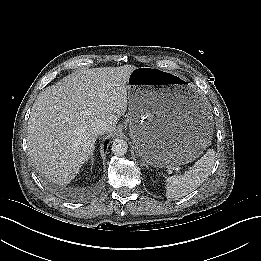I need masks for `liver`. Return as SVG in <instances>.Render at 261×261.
Returning a JSON list of instances; mask_svg holds the SVG:
<instances>
[{
	"instance_id": "liver-1",
	"label": "liver",
	"mask_w": 261,
	"mask_h": 261,
	"mask_svg": "<svg viewBox=\"0 0 261 261\" xmlns=\"http://www.w3.org/2000/svg\"><path fill=\"white\" fill-rule=\"evenodd\" d=\"M134 65L99 67L68 75L40 92L27 127L28 151L49 181L69 184L92 156L96 121L113 133L127 110L128 79Z\"/></svg>"
}]
</instances>
